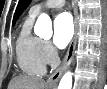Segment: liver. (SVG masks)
<instances>
[{
	"label": "liver",
	"instance_id": "6515ba94",
	"mask_svg": "<svg viewBox=\"0 0 107 89\" xmlns=\"http://www.w3.org/2000/svg\"><path fill=\"white\" fill-rule=\"evenodd\" d=\"M45 81L33 76L20 75L14 77L8 86V89H44Z\"/></svg>",
	"mask_w": 107,
	"mask_h": 89
}]
</instances>
